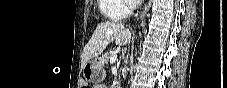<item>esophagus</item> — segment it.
<instances>
[{"instance_id":"1","label":"esophagus","mask_w":227,"mask_h":88,"mask_svg":"<svg viewBox=\"0 0 227 88\" xmlns=\"http://www.w3.org/2000/svg\"><path fill=\"white\" fill-rule=\"evenodd\" d=\"M152 0H149L148 3L146 4L144 10L142 11V13L140 14V19H143L146 15V13L148 12L150 6H151Z\"/></svg>"}]
</instances>
